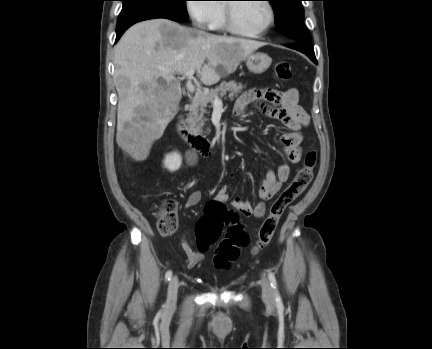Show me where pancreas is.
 Segmentation results:
<instances>
[{
    "label": "pancreas",
    "instance_id": "pancreas-1",
    "mask_svg": "<svg viewBox=\"0 0 432 349\" xmlns=\"http://www.w3.org/2000/svg\"><path fill=\"white\" fill-rule=\"evenodd\" d=\"M243 89L242 84H237L235 81H223L220 83L219 86H217L215 89H211L208 93H198L193 100V124L196 128V130L200 133H210V129L203 130V126L205 125V122L208 120L205 118V114L208 113L207 107L209 103L214 102V98L217 97H224L227 92H229L228 97L230 99H233L234 97H237L239 93H241Z\"/></svg>",
    "mask_w": 432,
    "mask_h": 349
}]
</instances>
